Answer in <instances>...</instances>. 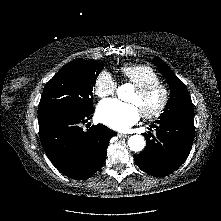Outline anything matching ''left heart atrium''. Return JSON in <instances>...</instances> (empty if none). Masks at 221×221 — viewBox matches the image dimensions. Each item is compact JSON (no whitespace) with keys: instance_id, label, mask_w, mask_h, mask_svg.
Returning a JSON list of instances; mask_svg holds the SVG:
<instances>
[{"instance_id":"39dd6f15","label":"left heart atrium","mask_w":221,"mask_h":221,"mask_svg":"<svg viewBox=\"0 0 221 221\" xmlns=\"http://www.w3.org/2000/svg\"><path fill=\"white\" fill-rule=\"evenodd\" d=\"M97 116L108 127L117 131H125L139 120L140 110L134 103L107 99L99 103Z\"/></svg>"}]
</instances>
